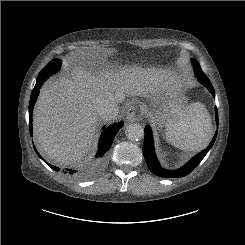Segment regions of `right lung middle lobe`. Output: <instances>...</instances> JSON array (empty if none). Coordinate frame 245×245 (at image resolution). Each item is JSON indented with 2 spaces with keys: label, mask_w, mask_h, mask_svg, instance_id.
I'll return each mask as SVG.
<instances>
[{
  "label": "right lung middle lobe",
  "mask_w": 245,
  "mask_h": 245,
  "mask_svg": "<svg viewBox=\"0 0 245 245\" xmlns=\"http://www.w3.org/2000/svg\"><path fill=\"white\" fill-rule=\"evenodd\" d=\"M61 65V61L58 59H53L51 62L47 64V66L39 73L38 76L45 75L46 77L50 76L51 74L55 73Z\"/></svg>",
  "instance_id": "obj_1"
}]
</instances>
